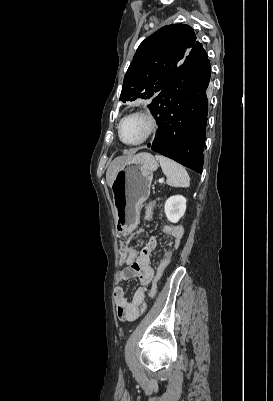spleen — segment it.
<instances>
[{"label": "spleen", "mask_w": 273, "mask_h": 401, "mask_svg": "<svg viewBox=\"0 0 273 401\" xmlns=\"http://www.w3.org/2000/svg\"><path fill=\"white\" fill-rule=\"evenodd\" d=\"M155 158L159 160L161 168L167 176V184L170 186H189L190 176L184 166L174 162L171 158H167V156H162V154H155Z\"/></svg>", "instance_id": "1"}]
</instances>
